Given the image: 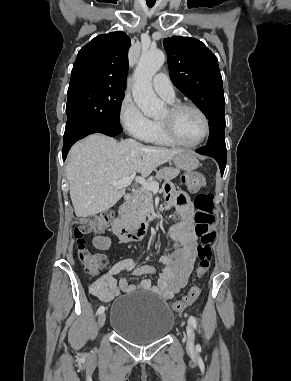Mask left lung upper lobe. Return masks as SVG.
<instances>
[{"instance_id":"1","label":"left lung upper lobe","mask_w":291,"mask_h":381,"mask_svg":"<svg viewBox=\"0 0 291 381\" xmlns=\"http://www.w3.org/2000/svg\"><path fill=\"white\" fill-rule=\"evenodd\" d=\"M174 86L209 120L207 144L225 143V99L216 56L197 39L174 36L163 41Z\"/></svg>"}]
</instances>
